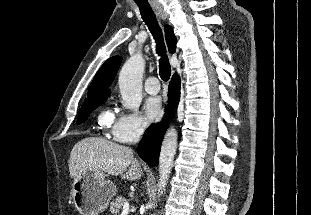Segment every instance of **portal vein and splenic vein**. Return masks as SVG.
Returning a JSON list of instances; mask_svg holds the SVG:
<instances>
[{
	"instance_id": "portal-vein-and-splenic-vein-1",
	"label": "portal vein and splenic vein",
	"mask_w": 311,
	"mask_h": 215,
	"mask_svg": "<svg viewBox=\"0 0 311 215\" xmlns=\"http://www.w3.org/2000/svg\"><path fill=\"white\" fill-rule=\"evenodd\" d=\"M129 209H130L129 203L125 202L123 205V210H122L121 215H127L129 212Z\"/></svg>"
}]
</instances>
